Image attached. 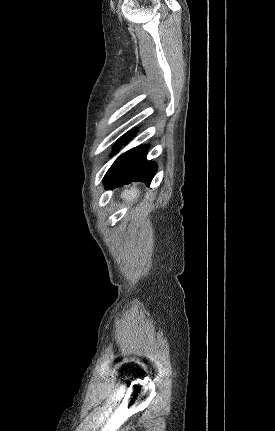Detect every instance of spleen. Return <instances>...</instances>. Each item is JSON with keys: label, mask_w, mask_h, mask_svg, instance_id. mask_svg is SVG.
<instances>
[{"label": "spleen", "mask_w": 275, "mask_h": 431, "mask_svg": "<svg viewBox=\"0 0 275 431\" xmlns=\"http://www.w3.org/2000/svg\"><path fill=\"white\" fill-rule=\"evenodd\" d=\"M139 190L136 188H131L130 190H125L122 194H121V198L127 202H131L135 199L138 198L139 196Z\"/></svg>", "instance_id": "spleen-1"}]
</instances>
